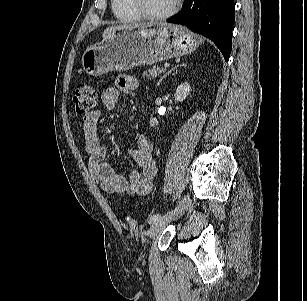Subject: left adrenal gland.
<instances>
[{"instance_id":"a2214340","label":"left adrenal gland","mask_w":307,"mask_h":301,"mask_svg":"<svg viewBox=\"0 0 307 301\" xmlns=\"http://www.w3.org/2000/svg\"><path fill=\"white\" fill-rule=\"evenodd\" d=\"M182 66H186V63H182L181 65H177L175 67H173L171 70H169L165 75H163V77L160 79V81L158 82V85L163 81V79H165L167 77V75H169L172 71H174L175 69H177L178 67H182Z\"/></svg>"}]
</instances>
